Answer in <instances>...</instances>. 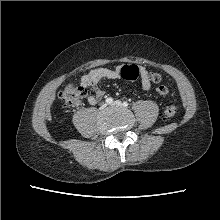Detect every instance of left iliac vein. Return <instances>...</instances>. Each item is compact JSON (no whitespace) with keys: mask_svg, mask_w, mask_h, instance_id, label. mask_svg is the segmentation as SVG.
Wrapping results in <instances>:
<instances>
[{"mask_svg":"<svg viewBox=\"0 0 220 220\" xmlns=\"http://www.w3.org/2000/svg\"><path fill=\"white\" fill-rule=\"evenodd\" d=\"M112 106L121 107L122 103H121V101L117 100L112 104Z\"/></svg>","mask_w":220,"mask_h":220,"instance_id":"1","label":"left iliac vein"}]
</instances>
